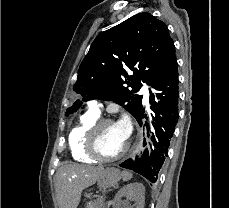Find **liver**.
<instances>
[{"label":"liver","mask_w":229,"mask_h":208,"mask_svg":"<svg viewBox=\"0 0 229 208\" xmlns=\"http://www.w3.org/2000/svg\"><path fill=\"white\" fill-rule=\"evenodd\" d=\"M103 166L65 164L56 172L55 190L59 208H77L82 190L97 182Z\"/></svg>","instance_id":"obj_1"}]
</instances>
